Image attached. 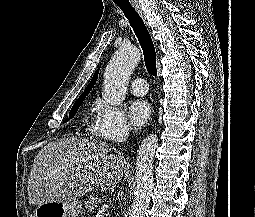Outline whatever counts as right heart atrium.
<instances>
[{
  "instance_id": "1",
  "label": "right heart atrium",
  "mask_w": 255,
  "mask_h": 217,
  "mask_svg": "<svg viewBox=\"0 0 255 217\" xmlns=\"http://www.w3.org/2000/svg\"><path fill=\"white\" fill-rule=\"evenodd\" d=\"M129 131V124L123 110L103 101L96 104L95 118L89 126V132L97 137L117 140Z\"/></svg>"
}]
</instances>
